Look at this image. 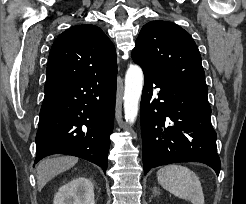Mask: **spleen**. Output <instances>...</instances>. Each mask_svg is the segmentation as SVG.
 <instances>
[{
    "label": "spleen",
    "mask_w": 246,
    "mask_h": 204,
    "mask_svg": "<svg viewBox=\"0 0 246 204\" xmlns=\"http://www.w3.org/2000/svg\"><path fill=\"white\" fill-rule=\"evenodd\" d=\"M158 183L175 196L192 204H204V194L197 175L188 167L171 164L157 171Z\"/></svg>",
    "instance_id": "spleen-1"
}]
</instances>
